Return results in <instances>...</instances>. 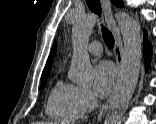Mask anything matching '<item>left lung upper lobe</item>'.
<instances>
[{"instance_id": "1", "label": "left lung upper lobe", "mask_w": 156, "mask_h": 124, "mask_svg": "<svg viewBox=\"0 0 156 124\" xmlns=\"http://www.w3.org/2000/svg\"><path fill=\"white\" fill-rule=\"evenodd\" d=\"M114 3H115L117 6H119V7H121V6H122V3H121V1H120V0H115V1H114Z\"/></svg>"}]
</instances>
